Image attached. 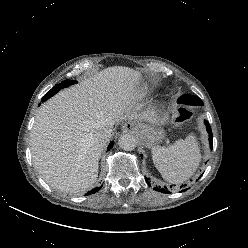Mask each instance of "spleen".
Here are the masks:
<instances>
[{
    "instance_id": "spleen-1",
    "label": "spleen",
    "mask_w": 248,
    "mask_h": 248,
    "mask_svg": "<svg viewBox=\"0 0 248 248\" xmlns=\"http://www.w3.org/2000/svg\"><path fill=\"white\" fill-rule=\"evenodd\" d=\"M152 159L162 177L174 184L189 179L199 166L201 154L194 136L179 139L169 146H154Z\"/></svg>"
}]
</instances>
